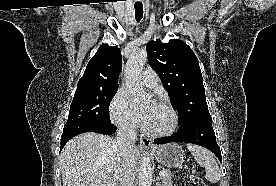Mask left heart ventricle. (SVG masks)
<instances>
[{
    "mask_svg": "<svg viewBox=\"0 0 276 186\" xmlns=\"http://www.w3.org/2000/svg\"><path fill=\"white\" fill-rule=\"evenodd\" d=\"M150 105H147L145 109L148 108ZM172 122L173 117L171 112L163 105L157 103L153 108L151 117L146 127L153 131H163L170 128Z\"/></svg>",
    "mask_w": 276,
    "mask_h": 186,
    "instance_id": "obj_1",
    "label": "left heart ventricle"
}]
</instances>
